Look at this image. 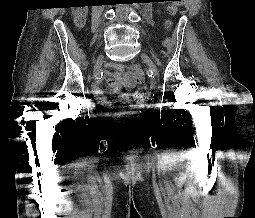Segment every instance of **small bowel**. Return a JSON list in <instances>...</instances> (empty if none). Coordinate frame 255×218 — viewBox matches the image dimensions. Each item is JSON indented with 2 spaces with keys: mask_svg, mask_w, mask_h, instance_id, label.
<instances>
[{
  "mask_svg": "<svg viewBox=\"0 0 255 218\" xmlns=\"http://www.w3.org/2000/svg\"><path fill=\"white\" fill-rule=\"evenodd\" d=\"M107 68L108 71L105 72V77L112 78L116 82L115 91H119L122 88H134L143 80V73L138 65L128 68L124 64L109 63ZM94 93L101 96V91L98 88H94ZM120 99L126 100L127 96L124 95Z\"/></svg>",
  "mask_w": 255,
  "mask_h": 218,
  "instance_id": "obj_1",
  "label": "small bowel"
}]
</instances>
